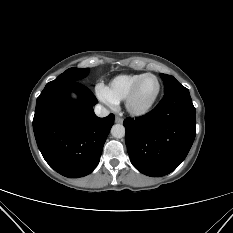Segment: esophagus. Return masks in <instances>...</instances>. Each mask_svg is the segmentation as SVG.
Instances as JSON below:
<instances>
[{
	"label": "esophagus",
	"instance_id": "34e87169",
	"mask_svg": "<svg viewBox=\"0 0 233 233\" xmlns=\"http://www.w3.org/2000/svg\"><path fill=\"white\" fill-rule=\"evenodd\" d=\"M115 122H116V123H122V122H123V119H122L121 117H119V116H116V117H115Z\"/></svg>",
	"mask_w": 233,
	"mask_h": 233
}]
</instances>
